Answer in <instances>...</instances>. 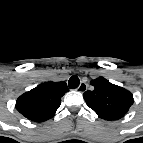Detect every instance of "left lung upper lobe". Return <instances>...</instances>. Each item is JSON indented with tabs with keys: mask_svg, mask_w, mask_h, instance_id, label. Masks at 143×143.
<instances>
[{
	"mask_svg": "<svg viewBox=\"0 0 143 143\" xmlns=\"http://www.w3.org/2000/svg\"><path fill=\"white\" fill-rule=\"evenodd\" d=\"M91 84L92 91L83 94L88 107L105 120H118L122 118L134 103L133 95L126 89L110 83L103 77H99Z\"/></svg>",
	"mask_w": 143,
	"mask_h": 143,
	"instance_id": "1",
	"label": "left lung upper lobe"
}]
</instances>
